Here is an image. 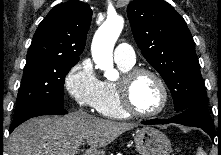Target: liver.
Masks as SVG:
<instances>
[{"label":"liver","instance_id":"1","mask_svg":"<svg viewBox=\"0 0 221 155\" xmlns=\"http://www.w3.org/2000/svg\"><path fill=\"white\" fill-rule=\"evenodd\" d=\"M136 126L100 119L83 111L63 117L33 118L11 134L9 155H72L84 140L89 149L83 155H105L103 147Z\"/></svg>","mask_w":221,"mask_h":155}]
</instances>
